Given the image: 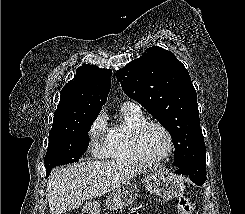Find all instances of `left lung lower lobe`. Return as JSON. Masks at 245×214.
I'll return each instance as SVG.
<instances>
[{"instance_id": "0a47b994", "label": "left lung lower lobe", "mask_w": 245, "mask_h": 214, "mask_svg": "<svg viewBox=\"0 0 245 214\" xmlns=\"http://www.w3.org/2000/svg\"><path fill=\"white\" fill-rule=\"evenodd\" d=\"M175 173L187 175L195 184L203 185L206 181V159L205 157L196 159L180 167Z\"/></svg>"}]
</instances>
